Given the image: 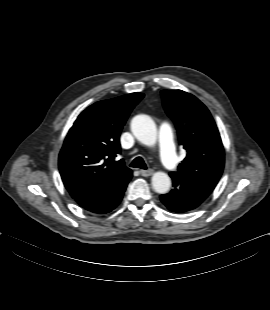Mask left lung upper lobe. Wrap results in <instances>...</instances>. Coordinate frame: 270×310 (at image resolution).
I'll list each match as a JSON object with an SVG mask.
<instances>
[{"mask_svg":"<svg viewBox=\"0 0 270 310\" xmlns=\"http://www.w3.org/2000/svg\"><path fill=\"white\" fill-rule=\"evenodd\" d=\"M163 105L174 121L186 158L172 172L187 180L216 186L223 172L224 148L208 109L182 90H163Z\"/></svg>","mask_w":270,"mask_h":310,"instance_id":"5c2ea615","label":"left lung upper lobe"}]
</instances>
